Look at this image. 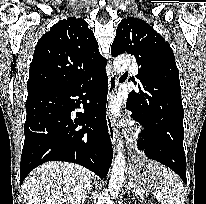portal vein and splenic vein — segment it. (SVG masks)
<instances>
[{
    "label": "portal vein and splenic vein",
    "instance_id": "18ae733b",
    "mask_svg": "<svg viewBox=\"0 0 206 204\" xmlns=\"http://www.w3.org/2000/svg\"><path fill=\"white\" fill-rule=\"evenodd\" d=\"M156 198L159 200V199H160V196L158 195Z\"/></svg>",
    "mask_w": 206,
    "mask_h": 204
}]
</instances>
